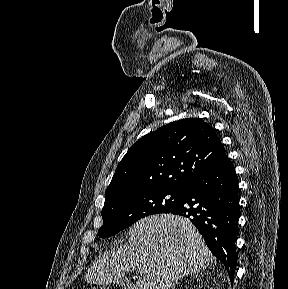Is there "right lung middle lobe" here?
I'll return each instance as SVG.
<instances>
[{
    "label": "right lung middle lobe",
    "mask_w": 288,
    "mask_h": 289,
    "mask_svg": "<svg viewBox=\"0 0 288 289\" xmlns=\"http://www.w3.org/2000/svg\"><path fill=\"white\" fill-rule=\"evenodd\" d=\"M183 198V188H153L118 193L105 198L99 237H110L139 219L168 213Z\"/></svg>",
    "instance_id": "right-lung-middle-lobe-1"
}]
</instances>
